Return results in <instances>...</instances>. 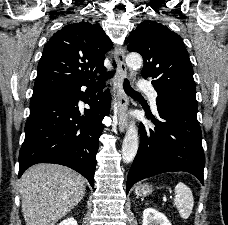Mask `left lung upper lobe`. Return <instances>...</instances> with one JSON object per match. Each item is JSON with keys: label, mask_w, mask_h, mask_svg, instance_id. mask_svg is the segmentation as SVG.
Listing matches in <instances>:
<instances>
[{"label": "left lung upper lobe", "mask_w": 228, "mask_h": 225, "mask_svg": "<svg viewBox=\"0 0 228 225\" xmlns=\"http://www.w3.org/2000/svg\"><path fill=\"white\" fill-rule=\"evenodd\" d=\"M127 42L129 51L143 57L142 76L154 79L158 100L197 107L192 64L178 34L161 23L146 20L131 32Z\"/></svg>", "instance_id": "obj_1"}]
</instances>
